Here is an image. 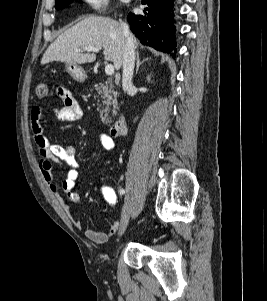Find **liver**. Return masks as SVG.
Masks as SVG:
<instances>
[{
	"label": "liver",
	"instance_id": "obj_1",
	"mask_svg": "<svg viewBox=\"0 0 267 301\" xmlns=\"http://www.w3.org/2000/svg\"><path fill=\"white\" fill-rule=\"evenodd\" d=\"M131 35V34H130ZM134 47L138 42L131 35ZM126 37L121 23L109 17L88 16L62 33L46 50L41 64L61 61L66 64H84L96 60L94 53L83 52V48L92 46L103 48L105 61L114 63L116 70L123 64V53Z\"/></svg>",
	"mask_w": 267,
	"mask_h": 301
}]
</instances>
